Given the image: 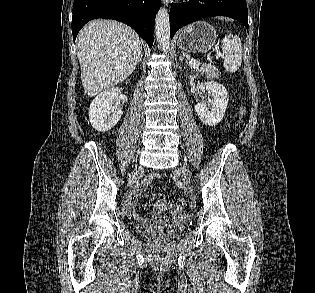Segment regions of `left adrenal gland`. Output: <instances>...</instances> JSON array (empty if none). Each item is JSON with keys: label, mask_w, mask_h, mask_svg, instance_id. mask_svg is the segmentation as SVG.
<instances>
[{"label": "left adrenal gland", "mask_w": 315, "mask_h": 293, "mask_svg": "<svg viewBox=\"0 0 315 293\" xmlns=\"http://www.w3.org/2000/svg\"><path fill=\"white\" fill-rule=\"evenodd\" d=\"M179 59L181 62L184 60L188 64L187 59H185V57L181 53H179Z\"/></svg>", "instance_id": "obj_1"}]
</instances>
